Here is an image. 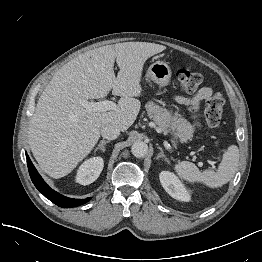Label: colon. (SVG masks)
Segmentation results:
<instances>
[{
	"mask_svg": "<svg viewBox=\"0 0 262 262\" xmlns=\"http://www.w3.org/2000/svg\"><path fill=\"white\" fill-rule=\"evenodd\" d=\"M177 78L181 88L186 92L197 90L203 82L200 73L189 69H180L177 72ZM224 104L225 99L221 93H215L207 99L204 109V118L209 127L215 128L220 124ZM190 111L195 113L196 108L191 106Z\"/></svg>",
	"mask_w": 262,
	"mask_h": 262,
	"instance_id": "5ec220e1",
	"label": "colon"
}]
</instances>
